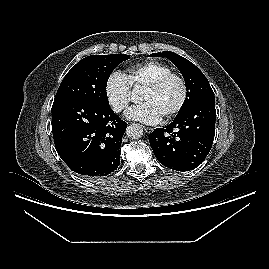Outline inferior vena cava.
I'll return each mask as SVG.
<instances>
[{"mask_svg": "<svg viewBox=\"0 0 269 269\" xmlns=\"http://www.w3.org/2000/svg\"><path fill=\"white\" fill-rule=\"evenodd\" d=\"M115 110H116V111H120V110H121V107L118 106V107L115 108Z\"/></svg>", "mask_w": 269, "mask_h": 269, "instance_id": "1", "label": "inferior vena cava"}]
</instances>
